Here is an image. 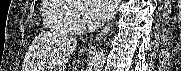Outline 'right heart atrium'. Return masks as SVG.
Instances as JSON below:
<instances>
[{
  "mask_svg": "<svg viewBox=\"0 0 181 71\" xmlns=\"http://www.w3.org/2000/svg\"><path fill=\"white\" fill-rule=\"evenodd\" d=\"M63 2L72 6V9L69 11L67 16L71 32L80 34L90 29L93 21L86 9L83 7L82 2L80 0H63Z\"/></svg>",
  "mask_w": 181,
  "mask_h": 71,
  "instance_id": "right-heart-atrium-1",
  "label": "right heart atrium"
}]
</instances>
